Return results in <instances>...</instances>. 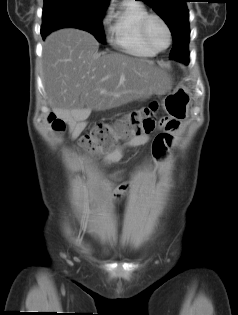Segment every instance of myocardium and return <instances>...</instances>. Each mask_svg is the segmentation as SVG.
Wrapping results in <instances>:
<instances>
[{
	"instance_id": "myocardium-1",
	"label": "myocardium",
	"mask_w": 238,
	"mask_h": 315,
	"mask_svg": "<svg viewBox=\"0 0 238 315\" xmlns=\"http://www.w3.org/2000/svg\"><path fill=\"white\" fill-rule=\"evenodd\" d=\"M153 20H157L159 21L163 27L165 28L166 30V33H167V37H168V42H167V45L163 48H159L157 46H155L153 44V42L150 40V37H149V34H148V28H149V25L150 23L153 21ZM141 35H142V38L143 40L145 41V43L151 47L152 49H154L155 51L157 52H161V51H164L166 49L169 48V46L171 45L172 43V33H171V29L168 25V23L166 22V20L161 17L160 15L158 14H148L144 20L142 21V24H141Z\"/></svg>"
}]
</instances>
